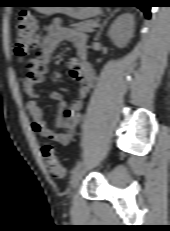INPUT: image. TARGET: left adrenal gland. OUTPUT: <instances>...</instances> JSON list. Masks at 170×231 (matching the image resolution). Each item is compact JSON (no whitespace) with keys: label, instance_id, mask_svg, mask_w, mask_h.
<instances>
[{"label":"left adrenal gland","instance_id":"left-adrenal-gland-1","mask_svg":"<svg viewBox=\"0 0 170 231\" xmlns=\"http://www.w3.org/2000/svg\"><path fill=\"white\" fill-rule=\"evenodd\" d=\"M112 15H113V14H111L110 17H111ZM107 19H109V18H107ZM107 19L104 21L103 25H102L101 28H100V31L97 33V38L100 36L101 31H102V29H103V26L107 23Z\"/></svg>","mask_w":170,"mask_h":231}]
</instances>
